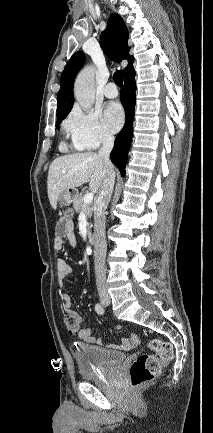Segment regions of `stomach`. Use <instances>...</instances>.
<instances>
[{
    "label": "stomach",
    "instance_id": "1",
    "mask_svg": "<svg viewBox=\"0 0 213 433\" xmlns=\"http://www.w3.org/2000/svg\"><path fill=\"white\" fill-rule=\"evenodd\" d=\"M75 197V191L72 189H67L63 191L59 196V202L63 206H69Z\"/></svg>",
    "mask_w": 213,
    "mask_h": 433
}]
</instances>
